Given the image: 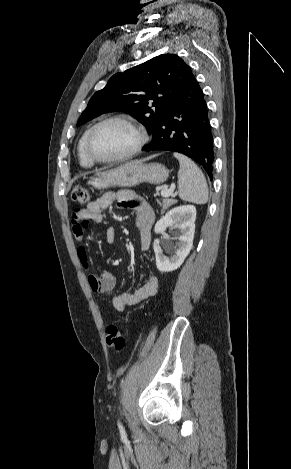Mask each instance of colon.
<instances>
[{
  "instance_id": "colon-1",
  "label": "colon",
  "mask_w": 291,
  "mask_h": 469,
  "mask_svg": "<svg viewBox=\"0 0 291 469\" xmlns=\"http://www.w3.org/2000/svg\"><path fill=\"white\" fill-rule=\"evenodd\" d=\"M73 201L85 204L89 200L88 190L83 186H76L72 191ZM107 345L115 351H122L126 346V339L116 325H110L106 330Z\"/></svg>"
}]
</instances>
